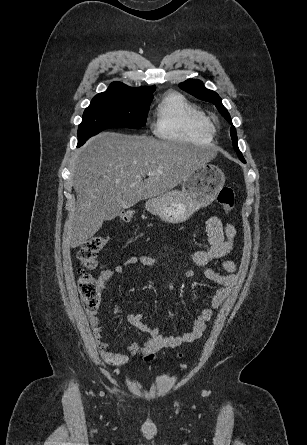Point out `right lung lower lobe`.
I'll use <instances>...</instances> for the list:
<instances>
[{
  "label": "right lung lower lobe",
  "instance_id": "1",
  "mask_svg": "<svg viewBox=\"0 0 307 445\" xmlns=\"http://www.w3.org/2000/svg\"><path fill=\"white\" fill-rule=\"evenodd\" d=\"M83 143H85V142H81V141H78V147H80Z\"/></svg>",
  "mask_w": 307,
  "mask_h": 445
}]
</instances>
